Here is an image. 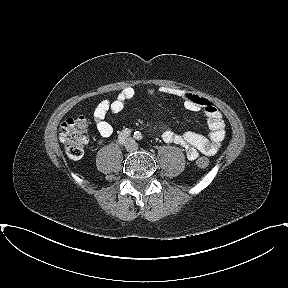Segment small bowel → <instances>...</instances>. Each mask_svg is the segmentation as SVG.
<instances>
[{
    "label": "small bowel",
    "mask_w": 288,
    "mask_h": 288,
    "mask_svg": "<svg viewBox=\"0 0 288 288\" xmlns=\"http://www.w3.org/2000/svg\"><path fill=\"white\" fill-rule=\"evenodd\" d=\"M169 94L182 99L184 107L192 112H202L207 118L209 133L201 135L195 132L186 131L176 133L171 130H162V139L167 143L180 145L187 157L194 160L199 153L207 155H215L225 138V123L221 112L207 98L199 96L189 91L173 89L169 87H160L157 90L149 89L148 94L155 93ZM135 95V91L131 87L122 89L112 100H102L94 109V118L96 128L100 135V143L104 139L111 136L113 132L112 126L106 121L108 114H117L124 110L128 101Z\"/></svg>",
    "instance_id": "c3829d8e"
}]
</instances>
